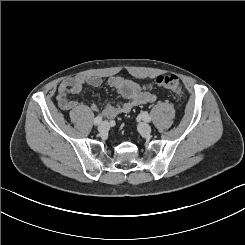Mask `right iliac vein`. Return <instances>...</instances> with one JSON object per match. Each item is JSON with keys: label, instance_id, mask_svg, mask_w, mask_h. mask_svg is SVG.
<instances>
[{"label": "right iliac vein", "instance_id": "1", "mask_svg": "<svg viewBox=\"0 0 245 245\" xmlns=\"http://www.w3.org/2000/svg\"><path fill=\"white\" fill-rule=\"evenodd\" d=\"M108 129H109V123L107 121L101 122L98 127L99 132H106Z\"/></svg>", "mask_w": 245, "mask_h": 245}]
</instances>
